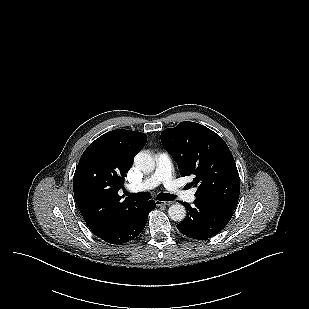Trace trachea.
Segmentation results:
<instances>
[{"mask_svg": "<svg viewBox=\"0 0 309 309\" xmlns=\"http://www.w3.org/2000/svg\"><path fill=\"white\" fill-rule=\"evenodd\" d=\"M126 194L134 201H145L150 199V194L146 192H140L135 194H129L126 192ZM157 199L161 201H172L175 199V197L174 195H171L169 193H160L157 195Z\"/></svg>", "mask_w": 309, "mask_h": 309, "instance_id": "trachea-1", "label": "trachea"}]
</instances>
